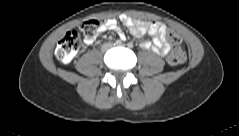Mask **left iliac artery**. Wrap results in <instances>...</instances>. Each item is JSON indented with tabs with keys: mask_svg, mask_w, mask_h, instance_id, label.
<instances>
[{
	"mask_svg": "<svg viewBox=\"0 0 239 136\" xmlns=\"http://www.w3.org/2000/svg\"><path fill=\"white\" fill-rule=\"evenodd\" d=\"M127 45H128L129 48H133V43L132 42H129Z\"/></svg>",
	"mask_w": 239,
	"mask_h": 136,
	"instance_id": "obj_1",
	"label": "left iliac artery"
}]
</instances>
